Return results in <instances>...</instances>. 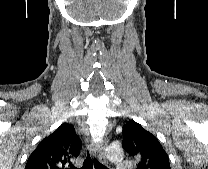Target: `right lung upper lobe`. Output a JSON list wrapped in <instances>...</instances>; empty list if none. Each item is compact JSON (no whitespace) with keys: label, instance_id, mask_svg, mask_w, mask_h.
<instances>
[{"label":"right lung upper lobe","instance_id":"right-lung-upper-lobe-1","mask_svg":"<svg viewBox=\"0 0 208 169\" xmlns=\"http://www.w3.org/2000/svg\"><path fill=\"white\" fill-rule=\"evenodd\" d=\"M81 146L73 125L63 123L39 143L25 169H75L71 161L78 157Z\"/></svg>","mask_w":208,"mask_h":169}]
</instances>
